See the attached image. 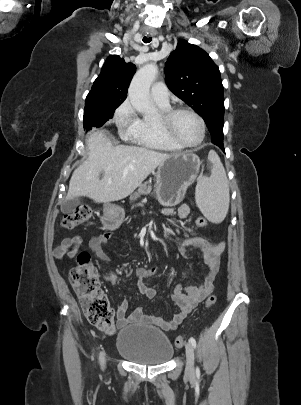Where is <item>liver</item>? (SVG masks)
Listing matches in <instances>:
<instances>
[{"mask_svg": "<svg viewBox=\"0 0 301 405\" xmlns=\"http://www.w3.org/2000/svg\"><path fill=\"white\" fill-rule=\"evenodd\" d=\"M86 150L88 158L73 172L66 200L87 196L107 203L126 198L170 156L143 147L113 146L103 130L87 134Z\"/></svg>", "mask_w": 301, "mask_h": 405, "instance_id": "6515ba94", "label": "liver"}]
</instances>
